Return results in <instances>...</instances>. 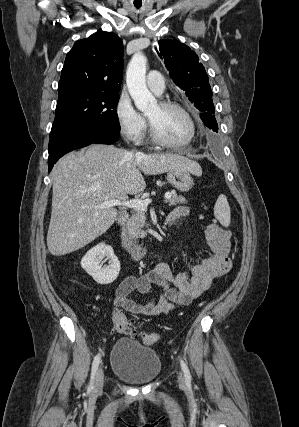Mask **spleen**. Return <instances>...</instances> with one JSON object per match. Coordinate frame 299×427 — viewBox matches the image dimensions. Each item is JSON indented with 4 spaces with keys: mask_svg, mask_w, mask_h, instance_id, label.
I'll use <instances>...</instances> for the list:
<instances>
[{
    "mask_svg": "<svg viewBox=\"0 0 299 427\" xmlns=\"http://www.w3.org/2000/svg\"><path fill=\"white\" fill-rule=\"evenodd\" d=\"M214 215L220 224L228 227L231 221L230 207L224 194L219 195L214 206Z\"/></svg>",
    "mask_w": 299,
    "mask_h": 427,
    "instance_id": "3e777b00",
    "label": "spleen"
}]
</instances>
